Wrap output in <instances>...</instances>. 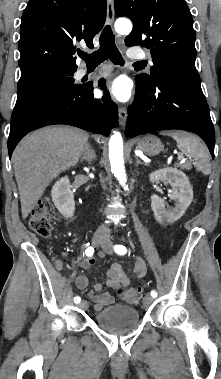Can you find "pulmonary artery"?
<instances>
[{"label": "pulmonary artery", "mask_w": 221, "mask_h": 379, "mask_svg": "<svg viewBox=\"0 0 221 379\" xmlns=\"http://www.w3.org/2000/svg\"><path fill=\"white\" fill-rule=\"evenodd\" d=\"M127 54H128V57H130L131 59H145L146 58L145 52L138 49H130ZM87 73L88 71L86 69H79L77 72L78 76L80 77L85 76Z\"/></svg>", "instance_id": "e3ab8cb5"}]
</instances>
